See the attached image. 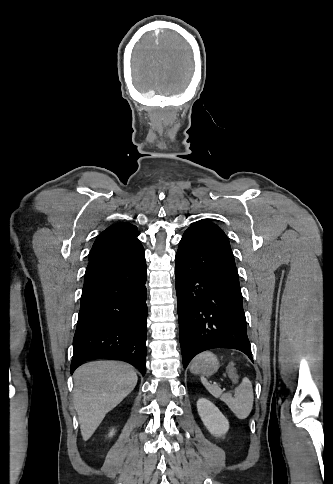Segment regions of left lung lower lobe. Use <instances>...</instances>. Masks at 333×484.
<instances>
[{"label": "left lung lower lobe", "mask_w": 333, "mask_h": 484, "mask_svg": "<svg viewBox=\"0 0 333 484\" xmlns=\"http://www.w3.org/2000/svg\"><path fill=\"white\" fill-rule=\"evenodd\" d=\"M175 277L183 367L214 348L237 349L253 361L233 253L217 225L203 219L185 231Z\"/></svg>", "instance_id": "left-lung-lower-lobe-1"}]
</instances>
